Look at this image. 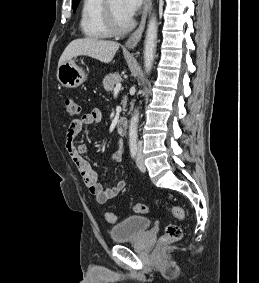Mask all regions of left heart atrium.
<instances>
[{
    "label": "left heart atrium",
    "instance_id": "1",
    "mask_svg": "<svg viewBox=\"0 0 259 283\" xmlns=\"http://www.w3.org/2000/svg\"><path fill=\"white\" fill-rule=\"evenodd\" d=\"M143 0H121V9L123 14L131 20L139 9Z\"/></svg>",
    "mask_w": 259,
    "mask_h": 283
}]
</instances>
